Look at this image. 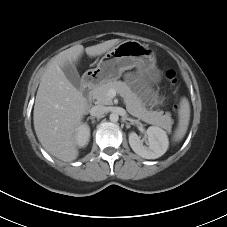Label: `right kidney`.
<instances>
[{"label": "right kidney", "mask_w": 227, "mask_h": 227, "mask_svg": "<svg viewBox=\"0 0 227 227\" xmlns=\"http://www.w3.org/2000/svg\"><path fill=\"white\" fill-rule=\"evenodd\" d=\"M90 138V128L87 124H81L78 126L75 133V140L79 147H85Z\"/></svg>", "instance_id": "obj_1"}]
</instances>
